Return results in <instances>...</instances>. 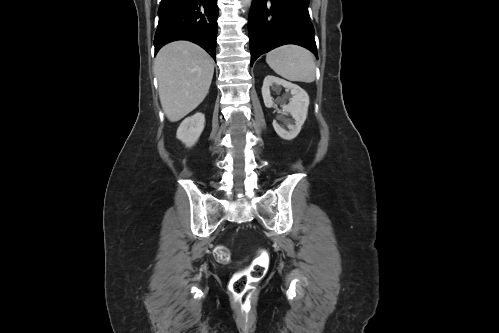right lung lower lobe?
Listing matches in <instances>:
<instances>
[{
    "instance_id": "1",
    "label": "right lung lower lobe",
    "mask_w": 499,
    "mask_h": 333,
    "mask_svg": "<svg viewBox=\"0 0 499 333\" xmlns=\"http://www.w3.org/2000/svg\"><path fill=\"white\" fill-rule=\"evenodd\" d=\"M155 34V55L165 44L188 40L216 57L217 0H161Z\"/></svg>"
}]
</instances>
